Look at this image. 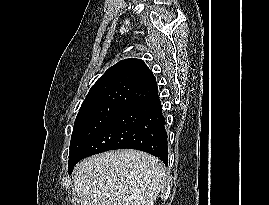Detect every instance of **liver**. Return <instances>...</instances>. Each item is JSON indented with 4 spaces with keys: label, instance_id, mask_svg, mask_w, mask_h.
I'll list each match as a JSON object with an SVG mask.
<instances>
[{
    "label": "liver",
    "instance_id": "obj_1",
    "mask_svg": "<svg viewBox=\"0 0 269 205\" xmlns=\"http://www.w3.org/2000/svg\"><path fill=\"white\" fill-rule=\"evenodd\" d=\"M73 181L81 205H153L165 170L154 156L123 149L84 159Z\"/></svg>",
    "mask_w": 269,
    "mask_h": 205
}]
</instances>
